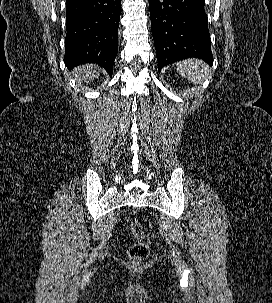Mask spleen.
I'll return each mask as SVG.
<instances>
[{"label": "spleen", "mask_w": 272, "mask_h": 303, "mask_svg": "<svg viewBox=\"0 0 272 303\" xmlns=\"http://www.w3.org/2000/svg\"><path fill=\"white\" fill-rule=\"evenodd\" d=\"M177 71L194 84H201L209 77V66L199 59H187L177 63Z\"/></svg>", "instance_id": "3e777b00"}]
</instances>
